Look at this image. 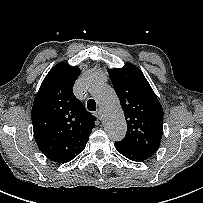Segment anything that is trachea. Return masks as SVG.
<instances>
[{
	"mask_svg": "<svg viewBox=\"0 0 203 203\" xmlns=\"http://www.w3.org/2000/svg\"><path fill=\"white\" fill-rule=\"evenodd\" d=\"M87 108L89 111H96V102L93 99H89L87 101Z\"/></svg>",
	"mask_w": 203,
	"mask_h": 203,
	"instance_id": "3493384b",
	"label": "trachea"
}]
</instances>
